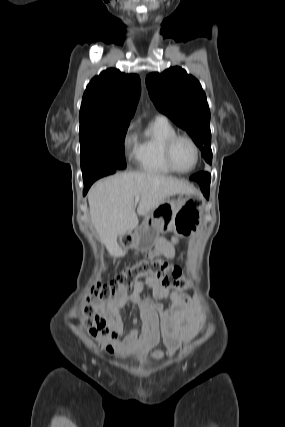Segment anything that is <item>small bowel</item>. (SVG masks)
<instances>
[{
  "label": "small bowel",
  "mask_w": 285,
  "mask_h": 427,
  "mask_svg": "<svg viewBox=\"0 0 285 427\" xmlns=\"http://www.w3.org/2000/svg\"><path fill=\"white\" fill-rule=\"evenodd\" d=\"M176 237H160L156 241V248L148 255V259L163 255L173 258L175 255ZM146 287L152 289L153 299L141 297ZM170 298L171 309H165L154 300ZM126 304L137 306L139 317L143 323L142 331L138 334L137 320L133 319L129 335L121 343H115L117 351L123 357L160 360L174 355L182 343L189 342L196 334L197 329L192 326L182 327L178 323L180 314L190 306L198 304V297H190L182 289L163 287L154 279H139L133 284L131 293H122L115 299L104 302L95 300V311L105 320L109 329L116 334L124 332V316L122 309ZM163 336L168 344L166 351L150 352L157 346Z\"/></svg>",
  "instance_id": "small-bowel-1"
}]
</instances>
